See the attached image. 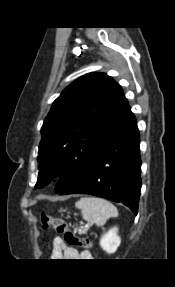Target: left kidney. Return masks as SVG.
Listing matches in <instances>:
<instances>
[{"label":"left kidney","instance_id":"5707ae66","mask_svg":"<svg viewBox=\"0 0 175 287\" xmlns=\"http://www.w3.org/2000/svg\"><path fill=\"white\" fill-rule=\"evenodd\" d=\"M118 229L116 227L111 228L100 239L101 248L109 254L116 252L121 243V239L117 234Z\"/></svg>","mask_w":175,"mask_h":287}]
</instances>
